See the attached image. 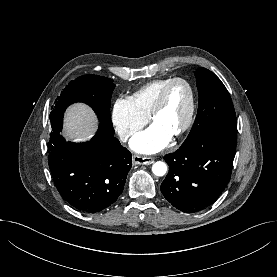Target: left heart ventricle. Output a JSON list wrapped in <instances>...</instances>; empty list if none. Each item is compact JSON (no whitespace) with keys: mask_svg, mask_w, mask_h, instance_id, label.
<instances>
[{"mask_svg":"<svg viewBox=\"0 0 277 277\" xmlns=\"http://www.w3.org/2000/svg\"><path fill=\"white\" fill-rule=\"evenodd\" d=\"M188 106V92L181 83L174 84L168 91L165 104L154 123L174 134L183 124Z\"/></svg>","mask_w":277,"mask_h":277,"instance_id":"obj_1","label":"left heart ventricle"}]
</instances>
